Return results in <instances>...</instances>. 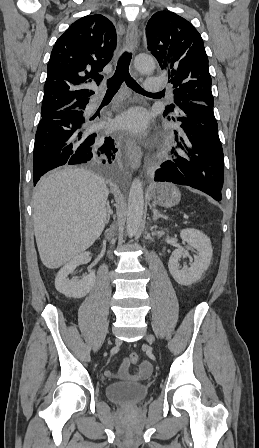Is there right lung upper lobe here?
I'll list each match as a JSON object with an SVG mask.
<instances>
[{
	"mask_svg": "<svg viewBox=\"0 0 259 448\" xmlns=\"http://www.w3.org/2000/svg\"><path fill=\"white\" fill-rule=\"evenodd\" d=\"M113 23L100 14L75 21L56 41L47 65L41 116L80 105L103 80L100 72L116 48Z\"/></svg>",
	"mask_w": 259,
	"mask_h": 448,
	"instance_id": "right-lung-upper-lobe-1",
	"label": "right lung upper lobe"
}]
</instances>
